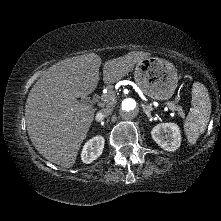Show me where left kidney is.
<instances>
[{
  "label": "left kidney",
  "mask_w": 221,
  "mask_h": 221,
  "mask_svg": "<svg viewBox=\"0 0 221 221\" xmlns=\"http://www.w3.org/2000/svg\"><path fill=\"white\" fill-rule=\"evenodd\" d=\"M151 135L153 140L164 150L173 152L180 147L181 133L175 123H161L156 125Z\"/></svg>",
  "instance_id": "5707ae66"
}]
</instances>
